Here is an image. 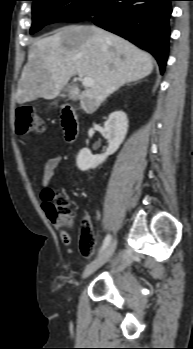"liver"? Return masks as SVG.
Here are the masks:
<instances>
[{
    "mask_svg": "<svg viewBox=\"0 0 193 349\" xmlns=\"http://www.w3.org/2000/svg\"><path fill=\"white\" fill-rule=\"evenodd\" d=\"M152 70V56L129 41L93 25H69L32 44L16 100L23 104L54 99L73 75L84 74L94 85L82 92L69 87V98L80 100L81 108L93 113L119 87Z\"/></svg>",
    "mask_w": 193,
    "mask_h": 349,
    "instance_id": "6515ba94",
    "label": "liver"
}]
</instances>
